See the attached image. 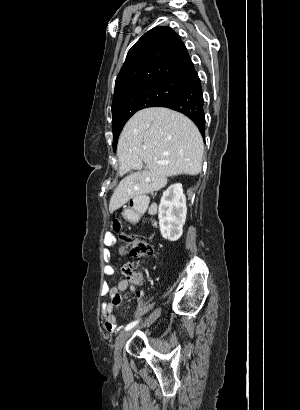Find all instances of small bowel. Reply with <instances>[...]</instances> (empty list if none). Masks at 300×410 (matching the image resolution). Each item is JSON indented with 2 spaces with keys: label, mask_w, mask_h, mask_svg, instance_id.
Wrapping results in <instances>:
<instances>
[{
  "label": "small bowel",
  "mask_w": 300,
  "mask_h": 410,
  "mask_svg": "<svg viewBox=\"0 0 300 410\" xmlns=\"http://www.w3.org/2000/svg\"><path fill=\"white\" fill-rule=\"evenodd\" d=\"M105 244L108 247H114L117 245V239L112 234H109L105 238ZM119 253L121 255L125 254V248L120 247ZM115 267L113 265H107L104 268V274L106 277H112L115 275ZM141 278L138 276H133L130 278L122 279L114 287H111L107 282H104L102 286V293L109 297V301L105 302L102 307V318L104 320V326L108 333H116L120 326L117 325L116 318L114 316L115 307L119 306L121 303L120 293L126 290L136 294V299L138 303V312L141 310V303L143 300V293L136 290V286L140 284Z\"/></svg>",
  "instance_id": "1"
}]
</instances>
